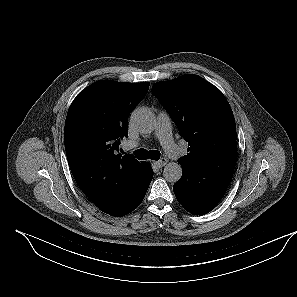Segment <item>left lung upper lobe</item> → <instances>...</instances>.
Listing matches in <instances>:
<instances>
[{"mask_svg":"<svg viewBox=\"0 0 297 297\" xmlns=\"http://www.w3.org/2000/svg\"><path fill=\"white\" fill-rule=\"evenodd\" d=\"M152 93L171 115L188 142V155L178 163L191 175L193 192L227 188L236 157V125L222 92L194 74L157 82Z\"/></svg>","mask_w":297,"mask_h":297,"instance_id":"1","label":"left lung upper lobe"}]
</instances>
